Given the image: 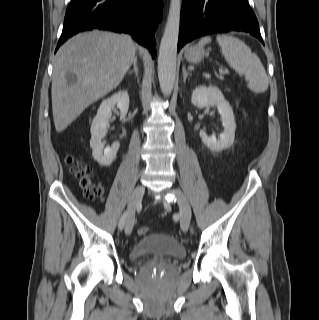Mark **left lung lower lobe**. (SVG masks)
Here are the masks:
<instances>
[{"instance_id":"left-lung-lower-lobe-1","label":"left lung lower lobe","mask_w":319,"mask_h":320,"mask_svg":"<svg viewBox=\"0 0 319 320\" xmlns=\"http://www.w3.org/2000/svg\"><path fill=\"white\" fill-rule=\"evenodd\" d=\"M232 30L248 32L263 43L248 0H183L178 50L199 36Z\"/></svg>"}]
</instances>
